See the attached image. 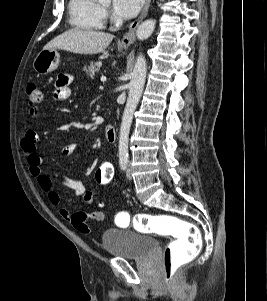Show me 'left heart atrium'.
<instances>
[{
	"label": "left heart atrium",
	"mask_w": 267,
	"mask_h": 301,
	"mask_svg": "<svg viewBox=\"0 0 267 301\" xmlns=\"http://www.w3.org/2000/svg\"><path fill=\"white\" fill-rule=\"evenodd\" d=\"M144 0H112L114 15L120 18H131L140 10Z\"/></svg>",
	"instance_id": "39dd6f15"
}]
</instances>
